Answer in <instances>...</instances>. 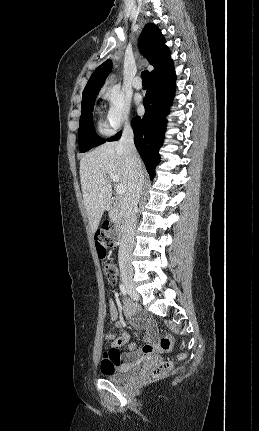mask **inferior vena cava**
<instances>
[{"instance_id":"602c4592","label":"inferior vena cava","mask_w":259,"mask_h":431,"mask_svg":"<svg viewBox=\"0 0 259 431\" xmlns=\"http://www.w3.org/2000/svg\"><path fill=\"white\" fill-rule=\"evenodd\" d=\"M120 146L124 152L131 183L123 200V227L118 259L120 265H128L130 264V257L134 246L137 224L136 209L143 187L142 162L134 145L133 129L129 122H126L124 125Z\"/></svg>"}]
</instances>
